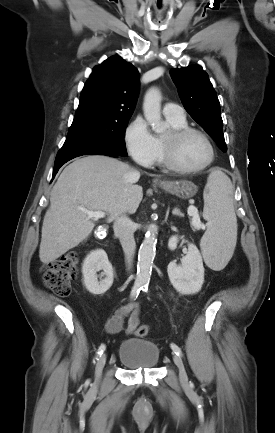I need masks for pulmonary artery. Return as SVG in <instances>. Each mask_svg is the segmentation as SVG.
Wrapping results in <instances>:
<instances>
[{
  "label": "pulmonary artery",
  "mask_w": 275,
  "mask_h": 433,
  "mask_svg": "<svg viewBox=\"0 0 275 433\" xmlns=\"http://www.w3.org/2000/svg\"><path fill=\"white\" fill-rule=\"evenodd\" d=\"M163 114L167 118L172 119H185L184 109L175 103H167L163 107Z\"/></svg>",
  "instance_id": "1"
}]
</instances>
